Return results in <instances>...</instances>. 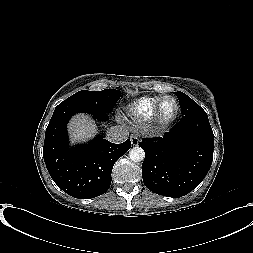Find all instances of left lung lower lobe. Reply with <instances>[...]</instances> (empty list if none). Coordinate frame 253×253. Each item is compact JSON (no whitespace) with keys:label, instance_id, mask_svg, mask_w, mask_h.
<instances>
[{"label":"left lung lower lobe","instance_id":"1","mask_svg":"<svg viewBox=\"0 0 253 253\" xmlns=\"http://www.w3.org/2000/svg\"><path fill=\"white\" fill-rule=\"evenodd\" d=\"M145 152L142 176L152 192L182 197L195 189L213 161L214 136L205 111L187 114L163 137L139 143Z\"/></svg>","mask_w":253,"mask_h":253}]
</instances>
